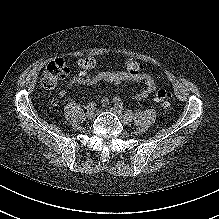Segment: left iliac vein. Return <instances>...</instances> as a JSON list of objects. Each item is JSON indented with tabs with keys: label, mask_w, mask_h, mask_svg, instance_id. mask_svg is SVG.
Returning <instances> with one entry per match:
<instances>
[{
	"label": "left iliac vein",
	"mask_w": 219,
	"mask_h": 219,
	"mask_svg": "<svg viewBox=\"0 0 219 219\" xmlns=\"http://www.w3.org/2000/svg\"><path fill=\"white\" fill-rule=\"evenodd\" d=\"M109 110L112 113H114L123 124L127 125L131 122V117L124 114L123 111L119 107L114 106V107L109 108Z\"/></svg>",
	"instance_id": "4c4485c4"
}]
</instances>
